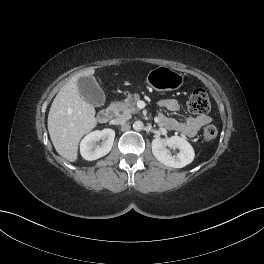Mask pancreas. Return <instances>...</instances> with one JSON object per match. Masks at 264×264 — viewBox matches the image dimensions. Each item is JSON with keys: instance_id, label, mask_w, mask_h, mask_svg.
Returning <instances> with one entry per match:
<instances>
[{"instance_id": "obj_1", "label": "pancreas", "mask_w": 264, "mask_h": 264, "mask_svg": "<svg viewBox=\"0 0 264 264\" xmlns=\"http://www.w3.org/2000/svg\"><path fill=\"white\" fill-rule=\"evenodd\" d=\"M139 96L135 94L133 97L128 96L124 101L114 103V111L116 115H130L138 113V108L136 106Z\"/></svg>"}]
</instances>
